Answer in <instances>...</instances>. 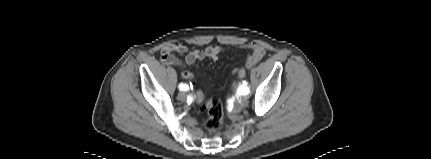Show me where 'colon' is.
Listing matches in <instances>:
<instances>
[{"label": "colon", "mask_w": 431, "mask_h": 159, "mask_svg": "<svg viewBox=\"0 0 431 159\" xmlns=\"http://www.w3.org/2000/svg\"><path fill=\"white\" fill-rule=\"evenodd\" d=\"M180 76L186 79L188 82H195L196 76L187 69H182L180 71ZM237 76L239 80L246 79V73L243 69L237 71ZM193 97L195 101L204 103V107L207 111V117L205 119V128L209 132H217L221 129L223 124V107L220 99L218 97H211L209 99H204L202 90H193Z\"/></svg>", "instance_id": "1"}]
</instances>
